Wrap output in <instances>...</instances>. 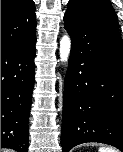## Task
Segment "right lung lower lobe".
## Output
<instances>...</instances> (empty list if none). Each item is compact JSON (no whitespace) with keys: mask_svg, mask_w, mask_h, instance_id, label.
Returning a JSON list of instances; mask_svg holds the SVG:
<instances>
[{"mask_svg":"<svg viewBox=\"0 0 123 152\" xmlns=\"http://www.w3.org/2000/svg\"><path fill=\"white\" fill-rule=\"evenodd\" d=\"M36 35L1 48V148L28 152Z\"/></svg>","mask_w":123,"mask_h":152,"instance_id":"obj_1","label":"right lung lower lobe"}]
</instances>
